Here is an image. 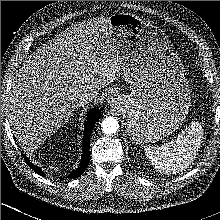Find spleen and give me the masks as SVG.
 <instances>
[{
    "mask_svg": "<svg viewBox=\"0 0 220 220\" xmlns=\"http://www.w3.org/2000/svg\"><path fill=\"white\" fill-rule=\"evenodd\" d=\"M203 138L199 122H192L176 140L160 147L145 146V154L160 172L176 174L186 169L196 158Z\"/></svg>",
    "mask_w": 220,
    "mask_h": 220,
    "instance_id": "1",
    "label": "spleen"
}]
</instances>
